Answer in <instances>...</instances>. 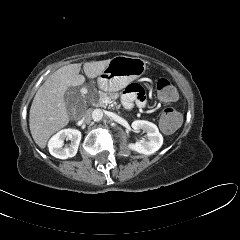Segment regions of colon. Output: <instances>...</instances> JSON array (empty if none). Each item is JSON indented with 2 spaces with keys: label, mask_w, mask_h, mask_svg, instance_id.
Instances as JSON below:
<instances>
[{
  "label": "colon",
  "mask_w": 240,
  "mask_h": 240,
  "mask_svg": "<svg viewBox=\"0 0 240 240\" xmlns=\"http://www.w3.org/2000/svg\"><path fill=\"white\" fill-rule=\"evenodd\" d=\"M156 90L158 98L164 103H172L177 100L178 92L171 82L163 77L156 81ZM181 123L180 114L171 107H166L162 111L160 118V127L166 133L175 131Z\"/></svg>",
  "instance_id": "1"
}]
</instances>
